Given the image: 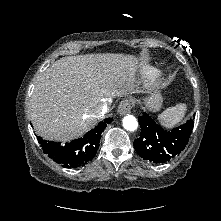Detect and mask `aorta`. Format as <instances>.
I'll use <instances>...</instances> for the list:
<instances>
[{
	"instance_id": "obj_1",
	"label": "aorta",
	"mask_w": 221,
	"mask_h": 221,
	"mask_svg": "<svg viewBox=\"0 0 221 221\" xmlns=\"http://www.w3.org/2000/svg\"><path fill=\"white\" fill-rule=\"evenodd\" d=\"M123 127L128 131H135L138 128V122L133 115H127L123 118Z\"/></svg>"
}]
</instances>
